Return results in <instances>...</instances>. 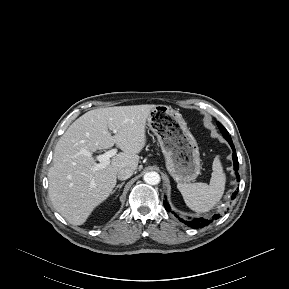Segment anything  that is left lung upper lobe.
<instances>
[{
	"label": "left lung upper lobe",
	"mask_w": 289,
	"mask_h": 289,
	"mask_svg": "<svg viewBox=\"0 0 289 289\" xmlns=\"http://www.w3.org/2000/svg\"><path fill=\"white\" fill-rule=\"evenodd\" d=\"M217 125H218L223 136L229 135V132L226 130V128L221 123L217 122Z\"/></svg>",
	"instance_id": "5c2ea615"
}]
</instances>
